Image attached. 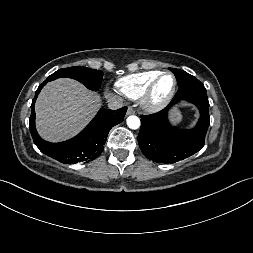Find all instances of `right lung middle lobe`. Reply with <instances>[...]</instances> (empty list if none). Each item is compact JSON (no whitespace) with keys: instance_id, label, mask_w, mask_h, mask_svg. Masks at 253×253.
I'll list each match as a JSON object with an SVG mask.
<instances>
[{"instance_id":"right-lung-middle-lobe-1","label":"right lung middle lobe","mask_w":253,"mask_h":253,"mask_svg":"<svg viewBox=\"0 0 253 253\" xmlns=\"http://www.w3.org/2000/svg\"><path fill=\"white\" fill-rule=\"evenodd\" d=\"M60 77H68L78 80L83 83L87 88L98 90L102 83L103 73L99 70L90 69L81 66L64 68L56 71L47 79L52 81Z\"/></svg>"}]
</instances>
